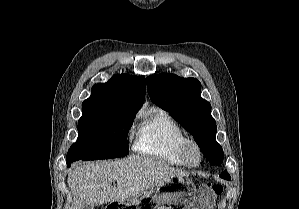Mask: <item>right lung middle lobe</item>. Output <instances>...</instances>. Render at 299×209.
I'll use <instances>...</instances> for the list:
<instances>
[{"label":"right lung middle lobe","instance_id":"obj_1","mask_svg":"<svg viewBox=\"0 0 299 209\" xmlns=\"http://www.w3.org/2000/svg\"><path fill=\"white\" fill-rule=\"evenodd\" d=\"M78 139L70 147L66 161L111 159L129 153L127 134L136 112L82 110Z\"/></svg>","mask_w":299,"mask_h":209}]
</instances>
